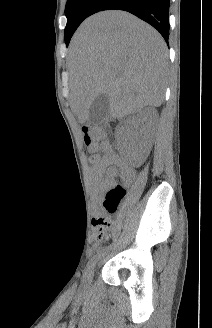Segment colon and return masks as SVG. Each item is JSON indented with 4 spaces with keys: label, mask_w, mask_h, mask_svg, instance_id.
Masks as SVG:
<instances>
[{
    "label": "colon",
    "mask_w": 212,
    "mask_h": 328,
    "mask_svg": "<svg viewBox=\"0 0 212 328\" xmlns=\"http://www.w3.org/2000/svg\"><path fill=\"white\" fill-rule=\"evenodd\" d=\"M83 133L85 145L91 148L105 140V133L100 128L86 126L83 128ZM125 193V188L119 184L114 185L105 193L102 201V210L96 219V224L98 226L97 238L99 240L108 238V231L113 225L112 215L118 209Z\"/></svg>",
    "instance_id": "colon-1"
}]
</instances>
